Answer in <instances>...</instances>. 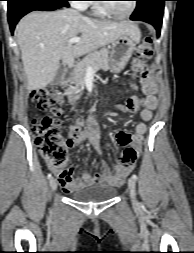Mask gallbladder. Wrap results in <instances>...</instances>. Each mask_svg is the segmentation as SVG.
<instances>
[{
    "mask_svg": "<svg viewBox=\"0 0 194 253\" xmlns=\"http://www.w3.org/2000/svg\"><path fill=\"white\" fill-rule=\"evenodd\" d=\"M65 70H66L65 66L63 64H60V67L53 79L54 84H59L62 81V78L65 74Z\"/></svg>",
    "mask_w": 194,
    "mask_h": 253,
    "instance_id": "bac80fb5",
    "label": "gallbladder"
}]
</instances>
